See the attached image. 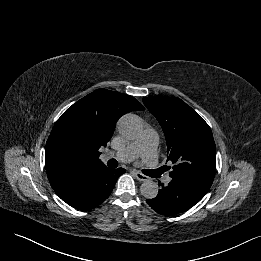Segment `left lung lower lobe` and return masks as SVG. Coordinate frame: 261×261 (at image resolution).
Here are the masks:
<instances>
[{
	"mask_svg": "<svg viewBox=\"0 0 261 261\" xmlns=\"http://www.w3.org/2000/svg\"><path fill=\"white\" fill-rule=\"evenodd\" d=\"M153 199H147V204L162 215H176L187 211L197 204L209 191L211 185L193 178H172Z\"/></svg>",
	"mask_w": 261,
	"mask_h": 261,
	"instance_id": "0a47b994",
	"label": "left lung lower lobe"
}]
</instances>
